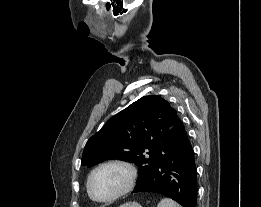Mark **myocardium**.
Instances as JSON below:
<instances>
[{"label": "myocardium", "instance_id": "obj_1", "mask_svg": "<svg viewBox=\"0 0 261 207\" xmlns=\"http://www.w3.org/2000/svg\"><path fill=\"white\" fill-rule=\"evenodd\" d=\"M108 166H119L122 167L123 169L126 170L127 174H128V180L126 185L124 186L123 189H121L118 193H116L115 195L106 198V199H99L95 196L93 189H92V180L94 175L101 170L102 168L108 167ZM137 180V170L136 168L129 162L127 161H123V160H109L106 162H103L101 164H99L98 166H96L91 173L89 174L88 180H87V191L88 194L90 196V198L97 202V203H111L119 198H121L122 196L126 195L127 193H129Z\"/></svg>", "mask_w": 261, "mask_h": 207}]
</instances>
